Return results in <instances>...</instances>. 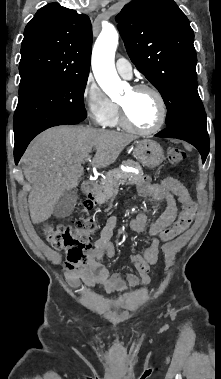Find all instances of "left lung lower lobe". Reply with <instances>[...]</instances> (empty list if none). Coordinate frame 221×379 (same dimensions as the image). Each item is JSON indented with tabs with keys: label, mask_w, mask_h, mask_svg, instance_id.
Returning <instances> with one entry per match:
<instances>
[{
	"label": "left lung lower lobe",
	"mask_w": 221,
	"mask_h": 379,
	"mask_svg": "<svg viewBox=\"0 0 221 379\" xmlns=\"http://www.w3.org/2000/svg\"><path fill=\"white\" fill-rule=\"evenodd\" d=\"M155 136L177 138L191 143L199 150L203 163L209 153V137L205 128L189 124H176L165 128Z\"/></svg>",
	"instance_id": "0a47b994"
}]
</instances>
